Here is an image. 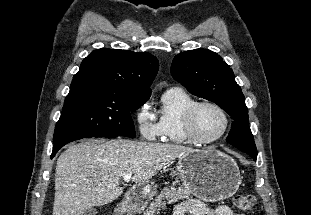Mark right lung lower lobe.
<instances>
[{"label":"right lung lower lobe","instance_id":"obj_1","mask_svg":"<svg viewBox=\"0 0 311 215\" xmlns=\"http://www.w3.org/2000/svg\"><path fill=\"white\" fill-rule=\"evenodd\" d=\"M113 137H117V135L116 136H107V138H113ZM78 139H82V138L70 139V140H65V141L59 142V143H55L54 146H53V151H52V154H51V158H53L55 156V154L57 153V151L61 147H63L65 144H67L69 142H72V141H75V140H78Z\"/></svg>","mask_w":311,"mask_h":215}]
</instances>
